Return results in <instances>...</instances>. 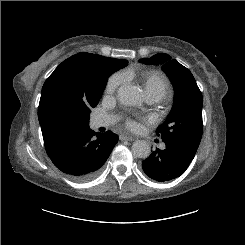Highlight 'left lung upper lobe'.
<instances>
[{"label":"left lung upper lobe","mask_w":245,"mask_h":245,"mask_svg":"<svg viewBox=\"0 0 245 245\" xmlns=\"http://www.w3.org/2000/svg\"><path fill=\"white\" fill-rule=\"evenodd\" d=\"M164 53L140 59L146 64H163L175 87V101L165 122L157 128L163 142L180 143L197 151L203 132L202 94L191 72Z\"/></svg>","instance_id":"left-lung-upper-lobe-1"}]
</instances>
